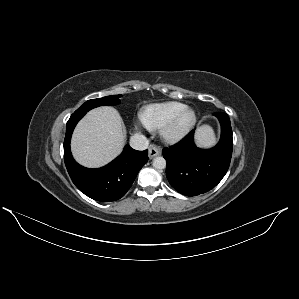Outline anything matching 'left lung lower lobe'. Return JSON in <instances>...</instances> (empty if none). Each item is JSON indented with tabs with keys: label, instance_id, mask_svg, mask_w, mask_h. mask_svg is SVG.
<instances>
[{
	"label": "left lung lower lobe",
	"instance_id": "0a47b994",
	"mask_svg": "<svg viewBox=\"0 0 299 299\" xmlns=\"http://www.w3.org/2000/svg\"><path fill=\"white\" fill-rule=\"evenodd\" d=\"M213 115L221 124V138L215 147L208 150L196 147L192 130L183 140L162 151L167 162L166 177L183 195L196 196L211 190L229 168L233 149L230 119L222 112Z\"/></svg>",
	"mask_w": 299,
	"mask_h": 299
}]
</instances>
